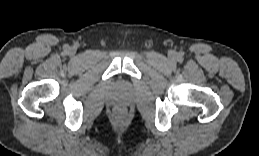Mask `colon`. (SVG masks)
<instances>
[{
	"instance_id": "5ec220e1",
	"label": "colon",
	"mask_w": 259,
	"mask_h": 156,
	"mask_svg": "<svg viewBox=\"0 0 259 156\" xmlns=\"http://www.w3.org/2000/svg\"><path fill=\"white\" fill-rule=\"evenodd\" d=\"M115 115L118 119H123L125 116V110L123 108H117L115 111Z\"/></svg>"
}]
</instances>
